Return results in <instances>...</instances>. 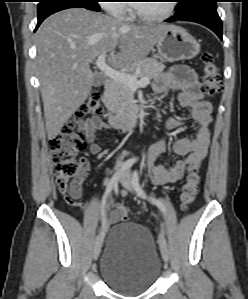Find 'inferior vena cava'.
Listing matches in <instances>:
<instances>
[{"instance_id": "obj_1", "label": "inferior vena cava", "mask_w": 248, "mask_h": 299, "mask_svg": "<svg viewBox=\"0 0 248 299\" xmlns=\"http://www.w3.org/2000/svg\"><path fill=\"white\" fill-rule=\"evenodd\" d=\"M122 164V157L120 156L116 162V166L119 167Z\"/></svg>"}]
</instances>
